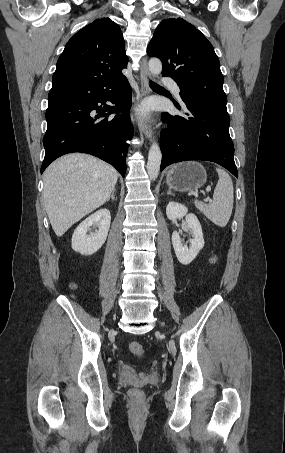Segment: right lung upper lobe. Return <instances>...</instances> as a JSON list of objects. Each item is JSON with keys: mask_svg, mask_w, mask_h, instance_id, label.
Masks as SVG:
<instances>
[{"mask_svg": "<svg viewBox=\"0 0 285 453\" xmlns=\"http://www.w3.org/2000/svg\"><path fill=\"white\" fill-rule=\"evenodd\" d=\"M127 62L120 27L110 18L98 19L71 37L57 61L52 82L120 77Z\"/></svg>", "mask_w": 285, "mask_h": 453, "instance_id": "right-lung-upper-lobe-1", "label": "right lung upper lobe"}]
</instances>
